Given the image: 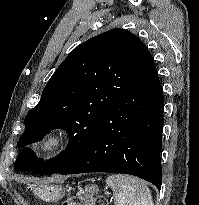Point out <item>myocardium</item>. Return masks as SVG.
Returning a JSON list of instances; mask_svg holds the SVG:
<instances>
[{"label":"myocardium","mask_w":199,"mask_h":205,"mask_svg":"<svg viewBox=\"0 0 199 205\" xmlns=\"http://www.w3.org/2000/svg\"><path fill=\"white\" fill-rule=\"evenodd\" d=\"M69 144L67 132L53 129L43 134L33 147L37 158L47 159L62 152Z\"/></svg>","instance_id":"obj_1"}]
</instances>
